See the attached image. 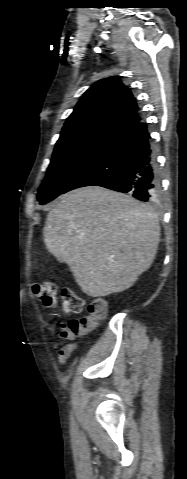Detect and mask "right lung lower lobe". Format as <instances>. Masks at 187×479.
Listing matches in <instances>:
<instances>
[{"mask_svg": "<svg viewBox=\"0 0 187 479\" xmlns=\"http://www.w3.org/2000/svg\"><path fill=\"white\" fill-rule=\"evenodd\" d=\"M84 186H101L130 192L141 201H154L161 181L151 137L139 121L103 154L78 173L61 194Z\"/></svg>", "mask_w": 187, "mask_h": 479, "instance_id": "1", "label": "right lung lower lobe"}]
</instances>
